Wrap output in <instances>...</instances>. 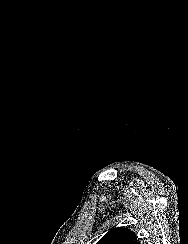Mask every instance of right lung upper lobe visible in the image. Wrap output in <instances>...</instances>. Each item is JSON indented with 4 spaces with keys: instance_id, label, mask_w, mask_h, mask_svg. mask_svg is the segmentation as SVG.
Returning a JSON list of instances; mask_svg holds the SVG:
<instances>
[{
    "instance_id": "1",
    "label": "right lung upper lobe",
    "mask_w": 188,
    "mask_h": 244,
    "mask_svg": "<svg viewBox=\"0 0 188 244\" xmlns=\"http://www.w3.org/2000/svg\"><path fill=\"white\" fill-rule=\"evenodd\" d=\"M97 244H140V242L130 229L118 227L105 234Z\"/></svg>"
}]
</instances>
